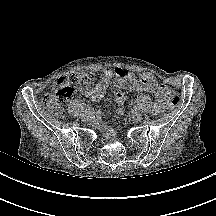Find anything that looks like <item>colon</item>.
I'll return each mask as SVG.
<instances>
[{
	"label": "colon",
	"mask_w": 216,
	"mask_h": 216,
	"mask_svg": "<svg viewBox=\"0 0 216 216\" xmlns=\"http://www.w3.org/2000/svg\"><path fill=\"white\" fill-rule=\"evenodd\" d=\"M92 79L89 74L69 72L57 80L54 91L43 97V103L55 116L63 117L65 105L74 94V87L77 84H89ZM165 103L167 107L174 108L179 105L180 98L168 90Z\"/></svg>",
	"instance_id": "colon-1"
}]
</instances>
